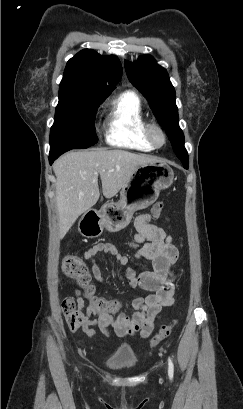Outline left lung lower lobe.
Masks as SVG:
<instances>
[{
	"label": "left lung lower lobe",
	"instance_id": "1",
	"mask_svg": "<svg viewBox=\"0 0 243 409\" xmlns=\"http://www.w3.org/2000/svg\"><path fill=\"white\" fill-rule=\"evenodd\" d=\"M184 168H185V169H187V168H188V166H184Z\"/></svg>",
	"mask_w": 243,
	"mask_h": 409
}]
</instances>
